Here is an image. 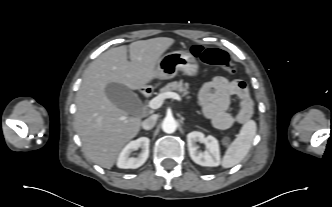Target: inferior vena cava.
Here are the masks:
<instances>
[{
  "label": "inferior vena cava",
  "mask_w": 332,
  "mask_h": 207,
  "mask_svg": "<svg viewBox=\"0 0 332 207\" xmlns=\"http://www.w3.org/2000/svg\"><path fill=\"white\" fill-rule=\"evenodd\" d=\"M156 121H157V116L156 115H152V116L148 117L147 119H145L142 122L143 129H145V130L152 129L155 126Z\"/></svg>",
  "instance_id": "inferior-vena-cava-1"
}]
</instances>
